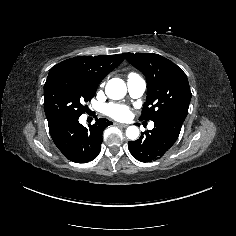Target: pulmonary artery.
<instances>
[{
  "instance_id": "pulmonary-artery-1",
  "label": "pulmonary artery",
  "mask_w": 236,
  "mask_h": 236,
  "mask_svg": "<svg viewBox=\"0 0 236 236\" xmlns=\"http://www.w3.org/2000/svg\"><path fill=\"white\" fill-rule=\"evenodd\" d=\"M127 87L132 97L139 98L144 94L146 90V83L140 76L132 74L128 77ZM148 127L149 129H153L154 123L150 122Z\"/></svg>"
}]
</instances>
